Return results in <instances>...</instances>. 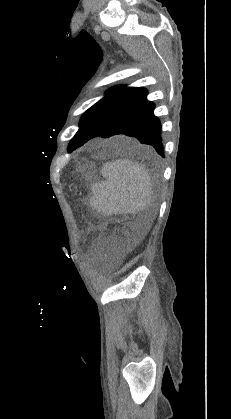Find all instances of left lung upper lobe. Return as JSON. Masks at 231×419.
<instances>
[{"label":"left lung upper lobe","instance_id":"left-lung-upper-lobe-1","mask_svg":"<svg viewBox=\"0 0 231 419\" xmlns=\"http://www.w3.org/2000/svg\"><path fill=\"white\" fill-rule=\"evenodd\" d=\"M137 88L114 87L109 90L104 98L90 107L81 117L79 130L71 140L68 151L74 150L86 135L115 107L128 99Z\"/></svg>","mask_w":231,"mask_h":419}]
</instances>
